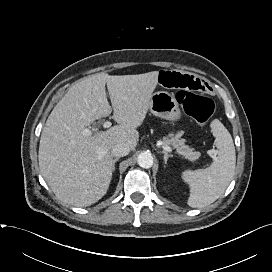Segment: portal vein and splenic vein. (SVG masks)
<instances>
[{"instance_id":"1","label":"portal vein and splenic vein","mask_w":272,"mask_h":272,"mask_svg":"<svg viewBox=\"0 0 272 272\" xmlns=\"http://www.w3.org/2000/svg\"><path fill=\"white\" fill-rule=\"evenodd\" d=\"M111 125H112V123H111L110 121H107V122H105V123L103 124V127H104V128H109V127H111ZM83 134H85V135H87V136H90V135H92V131L89 130L88 128H86V129L83 130ZM163 149H164L165 151H167V152H171V151H172L171 147H169V146H163ZM212 154H215V153L212 152Z\"/></svg>"}]
</instances>
